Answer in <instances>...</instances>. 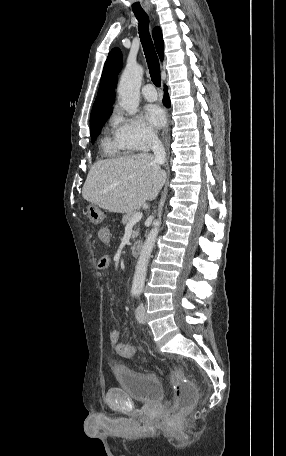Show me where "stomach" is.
<instances>
[{"label": "stomach", "mask_w": 286, "mask_h": 456, "mask_svg": "<svg viewBox=\"0 0 286 456\" xmlns=\"http://www.w3.org/2000/svg\"><path fill=\"white\" fill-rule=\"evenodd\" d=\"M88 218L92 223H99L104 218V213L96 206L90 205L87 209Z\"/></svg>", "instance_id": "stomach-1"}]
</instances>
